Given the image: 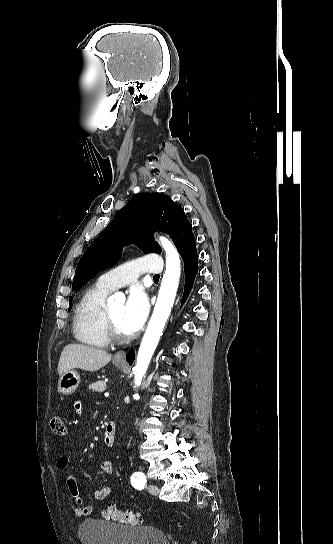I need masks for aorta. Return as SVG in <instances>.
I'll return each mask as SVG.
<instances>
[{
	"mask_svg": "<svg viewBox=\"0 0 333 544\" xmlns=\"http://www.w3.org/2000/svg\"><path fill=\"white\" fill-rule=\"evenodd\" d=\"M160 242L166 252V269L152 317L139 347L136 366L133 369L135 386H140L142 378L146 374L151 358L162 336L165 323L170 315L179 284L181 272L179 255L173 244L166 238L161 237ZM124 300V294L117 292L109 297L108 304L112 305L115 302H123ZM136 396L134 395V397Z\"/></svg>",
	"mask_w": 333,
	"mask_h": 544,
	"instance_id": "1",
	"label": "aorta"
}]
</instances>
